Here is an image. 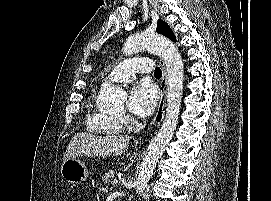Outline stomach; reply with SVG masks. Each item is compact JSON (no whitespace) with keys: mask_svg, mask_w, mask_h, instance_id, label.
<instances>
[{"mask_svg":"<svg viewBox=\"0 0 271 201\" xmlns=\"http://www.w3.org/2000/svg\"><path fill=\"white\" fill-rule=\"evenodd\" d=\"M61 175L68 183L78 184L87 179L89 171L79 158H71L63 161Z\"/></svg>","mask_w":271,"mask_h":201,"instance_id":"stomach-1","label":"stomach"}]
</instances>
